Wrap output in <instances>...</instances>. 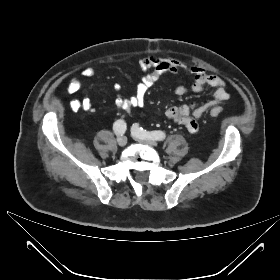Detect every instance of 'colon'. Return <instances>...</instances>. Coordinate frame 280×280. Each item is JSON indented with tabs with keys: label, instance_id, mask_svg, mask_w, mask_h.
I'll use <instances>...</instances> for the list:
<instances>
[{
	"label": "colon",
	"instance_id": "obj_1",
	"mask_svg": "<svg viewBox=\"0 0 280 280\" xmlns=\"http://www.w3.org/2000/svg\"><path fill=\"white\" fill-rule=\"evenodd\" d=\"M210 114L214 117H217L221 114V110L219 108H213L210 110Z\"/></svg>",
	"mask_w": 280,
	"mask_h": 280
}]
</instances>
